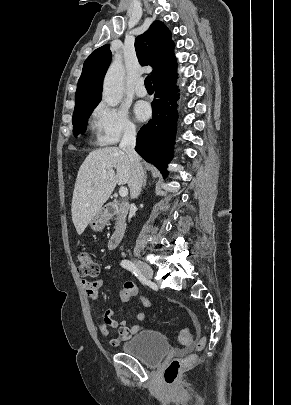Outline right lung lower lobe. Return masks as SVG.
I'll use <instances>...</instances> for the list:
<instances>
[{
  "label": "right lung lower lobe",
  "mask_w": 291,
  "mask_h": 405,
  "mask_svg": "<svg viewBox=\"0 0 291 405\" xmlns=\"http://www.w3.org/2000/svg\"><path fill=\"white\" fill-rule=\"evenodd\" d=\"M176 79L175 73L154 83L152 119L140 129L135 147L137 153L156 166L165 177L168 175L167 164L173 157L172 146L175 143L178 119Z\"/></svg>",
  "instance_id": "1"
}]
</instances>
